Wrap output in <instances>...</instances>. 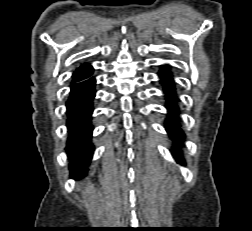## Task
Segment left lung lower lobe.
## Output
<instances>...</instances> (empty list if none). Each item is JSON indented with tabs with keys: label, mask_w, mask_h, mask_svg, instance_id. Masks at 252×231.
Listing matches in <instances>:
<instances>
[{
	"label": "left lung lower lobe",
	"mask_w": 252,
	"mask_h": 231,
	"mask_svg": "<svg viewBox=\"0 0 252 231\" xmlns=\"http://www.w3.org/2000/svg\"><path fill=\"white\" fill-rule=\"evenodd\" d=\"M168 66H162L159 72V76L161 78L160 82L164 85V90L167 94V108L170 111V115L166 120V130L171 135L173 140L180 141L184 138V133L179 128L177 124V105H176V93L175 88L173 87V79L168 71ZM172 154L180 163H182L181 154L178 150H173Z\"/></svg>",
	"instance_id": "obj_1"
}]
</instances>
